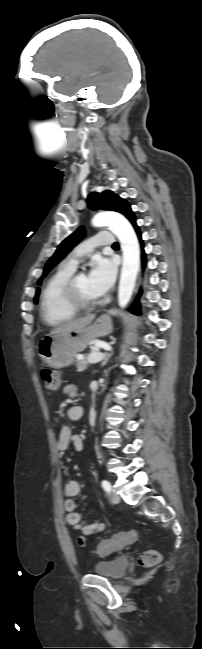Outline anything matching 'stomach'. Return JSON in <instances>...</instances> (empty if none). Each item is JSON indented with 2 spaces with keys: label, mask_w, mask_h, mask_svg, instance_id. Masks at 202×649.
<instances>
[{
  "label": "stomach",
  "mask_w": 202,
  "mask_h": 649,
  "mask_svg": "<svg viewBox=\"0 0 202 649\" xmlns=\"http://www.w3.org/2000/svg\"><path fill=\"white\" fill-rule=\"evenodd\" d=\"M112 332L108 315H102L91 326L48 335L40 340L37 349L42 361L52 368L69 366L75 356L82 352L95 339Z\"/></svg>",
  "instance_id": "0dacf381"
}]
</instances>
